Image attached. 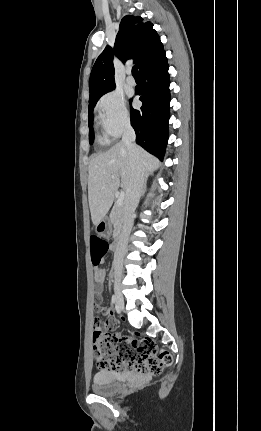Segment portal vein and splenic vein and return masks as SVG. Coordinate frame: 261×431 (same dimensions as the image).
Segmentation results:
<instances>
[{
  "instance_id": "18ae733b",
  "label": "portal vein and splenic vein",
  "mask_w": 261,
  "mask_h": 431,
  "mask_svg": "<svg viewBox=\"0 0 261 431\" xmlns=\"http://www.w3.org/2000/svg\"><path fill=\"white\" fill-rule=\"evenodd\" d=\"M124 197H125V193L122 191V192L119 194L118 199H117V201H116V204H117L118 206H121V205L123 204Z\"/></svg>"
}]
</instances>
